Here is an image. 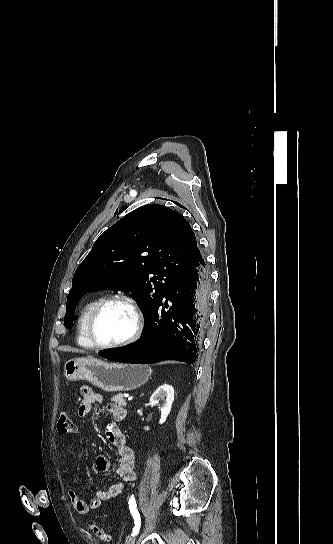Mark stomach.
I'll list each match as a JSON object with an SVG mask.
<instances>
[{"label":"stomach","instance_id":"obj_1","mask_svg":"<svg viewBox=\"0 0 333 544\" xmlns=\"http://www.w3.org/2000/svg\"><path fill=\"white\" fill-rule=\"evenodd\" d=\"M152 373L148 365L107 363L96 358H76L65 362L67 380H87L107 391H129L144 384Z\"/></svg>","mask_w":333,"mask_h":544}]
</instances>
